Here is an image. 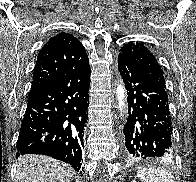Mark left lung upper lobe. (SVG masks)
<instances>
[{
    "label": "left lung upper lobe",
    "instance_id": "5c2ea615",
    "mask_svg": "<svg viewBox=\"0 0 196 182\" xmlns=\"http://www.w3.org/2000/svg\"><path fill=\"white\" fill-rule=\"evenodd\" d=\"M119 56L126 57L135 66L153 75L166 88L161 66L155 56L142 43L128 42L121 48Z\"/></svg>",
    "mask_w": 196,
    "mask_h": 182
}]
</instances>
